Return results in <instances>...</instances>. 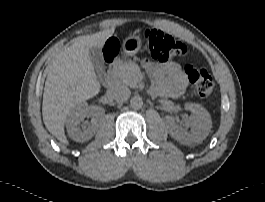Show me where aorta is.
Segmentation results:
<instances>
[{"label": "aorta", "instance_id": "1", "mask_svg": "<svg viewBox=\"0 0 265 202\" xmlns=\"http://www.w3.org/2000/svg\"><path fill=\"white\" fill-rule=\"evenodd\" d=\"M130 105L133 109H141L143 106V99L140 96H133L130 100Z\"/></svg>", "mask_w": 265, "mask_h": 202}]
</instances>
